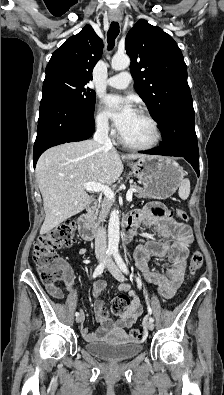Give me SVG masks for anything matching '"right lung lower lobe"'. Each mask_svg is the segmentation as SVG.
Wrapping results in <instances>:
<instances>
[{
  "instance_id": "right-lung-lower-lobe-1",
  "label": "right lung lower lobe",
  "mask_w": 224,
  "mask_h": 395,
  "mask_svg": "<svg viewBox=\"0 0 224 395\" xmlns=\"http://www.w3.org/2000/svg\"><path fill=\"white\" fill-rule=\"evenodd\" d=\"M94 124V112L77 110L56 98L43 96L34 143V167L46 149L90 138L94 132Z\"/></svg>"
}]
</instances>
